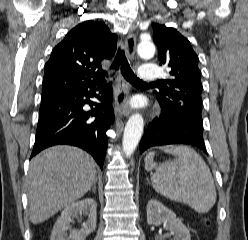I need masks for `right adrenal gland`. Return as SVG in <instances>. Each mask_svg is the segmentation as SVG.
Here are the masks:
<instances>
[{
  "instance_id": "2a0ac1e0",
  "label": "right adrenal gland",
  "mask_w": 248,
  "mask_h": 240,
  "mask_svg": "<svg viewBox=\"0 0 248 240\" xmlns=\"http://www.w3.org/2000/svg\"><path fill=\"white\" fill-rule=\"evenodd\" d=\"M92 192H96V181H95V183L93 184V187H92Z\"/></svg>"
}]
</instances>
